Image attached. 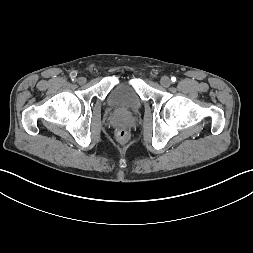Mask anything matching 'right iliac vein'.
Listing matches in <instances>:
<instances>
[{
	"label": "right iliac vein",
	"mask_w": 253,
	"mask_h": 253,
	"mask_svg": "<svg viewBox=\"0 0 253 253\" xmlns=\"http://www.w3.org/2000/svg\"><path fill=\"white\" fill-rule=\"evenodd\" d=\"M77 82H78L80 85L85 84V83H86V78H85V77H79V78L77 79Z\"/></svg>",
	"instance_id": "obj_1"
}]
</instances>
